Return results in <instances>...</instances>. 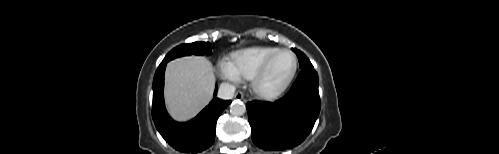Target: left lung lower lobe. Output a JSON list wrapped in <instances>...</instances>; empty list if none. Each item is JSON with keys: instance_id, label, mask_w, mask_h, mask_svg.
<instances>
[{"instance_id": "obj_1", "label": "left lung lower lobe", "mask_w": 499, "mask_h": 154, "mask_svg": "<svg viewBox=\"0 0 499 154\" xmlns=\"http://www.w3.org/2000/svg\"><path fill=\"white\" fill-rule=\"evenodd\" d=\"M318 85L317 72L302 69L281 99L274 103L248 102L246 108L253 142L266 151L299 145L311 132L320 113Z\"/></svg>"}]
</instances>
